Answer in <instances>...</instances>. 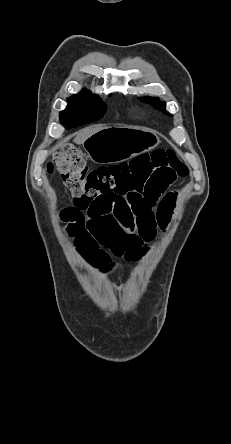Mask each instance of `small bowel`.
<instances>
[{
    "label": "small bowel",
    "mask_w": 231,
    "mask_h": 444,
    "mask_svg": "<svg viewBox=\"0 0 231 444\" xmlns=\"http://www.w3.org/2000/svg\"><path fill=\"white\" fill-rule=\"evenodd\" d=\"M167 187L154 186L134 208L122 198L74 200L62 213L68 234L96 268L112 269L111 255L138 260L171 220L175 194H165Z\"/></svg>",
    "instance_id": "obj_1"
}]
</instances>
